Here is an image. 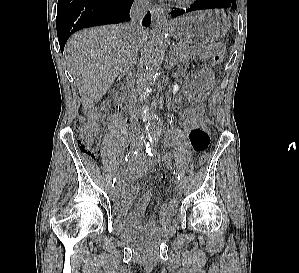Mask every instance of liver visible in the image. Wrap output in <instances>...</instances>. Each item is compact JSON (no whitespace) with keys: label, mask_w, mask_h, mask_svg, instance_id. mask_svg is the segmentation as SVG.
<instances>
[{"label":"liver","mask_w":299,"mask_h":273,"mask_svg":"<svg viewBox=\"0 0 299 273\" xmlns=\"http://www.w3.org/2000/svg\"><path fill=\"white\" fill-rule=\"evenodd\" d=\"M146 31L136 33L128 25H110L86 29L66 43L64 54L87 111L110 88L129 63L131 40L142 47Z\"/></svg>","instance_id":"obj_1"}]
</instances>
